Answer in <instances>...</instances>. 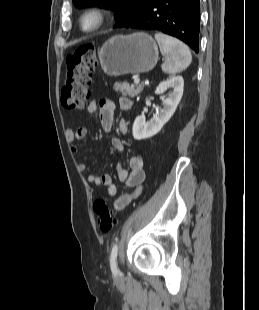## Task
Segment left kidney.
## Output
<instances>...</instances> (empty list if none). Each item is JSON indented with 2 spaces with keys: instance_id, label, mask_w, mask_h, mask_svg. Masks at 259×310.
<instances>
[{
  "instance_id": "left-kidney-1",
  "label": "left kidney",
  "mask_w": 259,
  "mask_h": 310,
  "mask_svg": "<svg viewBox=\"0 0 259 310\" xmlns=\"http://www.w3.org/2000/svg\"><path fill=\"white\" fill-rule=\"evenodd\" d=\"M183 88L184 80L182 76L172 77L159 84L157 87L158 94L164 93L167 89L172 91L167 98L162 99L163 107L153 115L150 121L146 122L142 116L136 117L132 127V134L135 140L150 138L163 128L174 114L182 98Z\"/></svg>"
}]
</instances>
